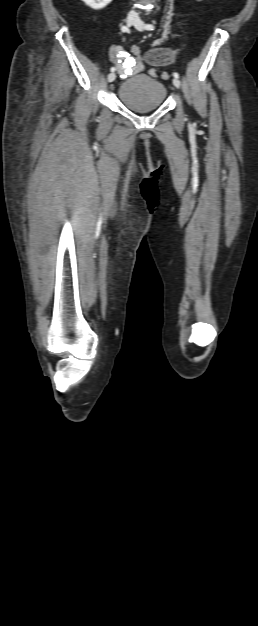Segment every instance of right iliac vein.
<instances>
[{"label":"right iliac vein","mask_w":258,"mask_h":626,"mask_svg":"<svg viewBox=\"0 0 258 626\" xmlns=\"http://www.w3.org/2000/svg\"><path fill=\"white\" fill-rule=\"evenodd\" d=\"M136 19L132 16H128L126 19V23L128 26H132L135 23ZM116 79V73L112 72L108 74L107 80L108 82H113Z\"/></svg>","instance_id":"obj_1"}]
</instances>
